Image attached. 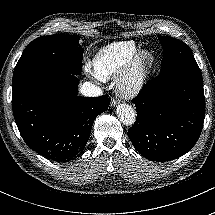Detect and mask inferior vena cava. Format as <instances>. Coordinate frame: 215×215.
<instances>
[{"label": "inferior vena cava", "mask_w": 215, "mask_h": 215, "mask_svg": "<svg viewBox=\"0 0 215 215\" xmlns=\"http://www.w3.org/2000/svg\"><path fill=\"white\" fill-rule=\"evenodd\" d=\"M80 93L85 97H98L103 94V91L94 83L86 81L80 86Z\"/></svg>", "instance_id": "1"}]
</instances>
